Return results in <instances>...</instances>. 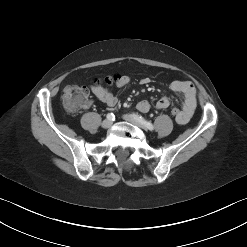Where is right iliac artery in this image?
Listing matches in <instances>:
<instances>
[{"label": "right iliac artery", "instance_id": "82829eb1", "mask_svg": "<svg viewBox=\"0 0 247 247\" xmlns=\"http://www.w3.org/2000/svg\"><path fill=\"white\" fill-rule=\"evenodd\" d=\"M107 119H109V120H115V116H114V114L113 113H109L108 115H107Z\"/></svg>", "mask_w": 247, "mask_h": 247}]
</instances>
